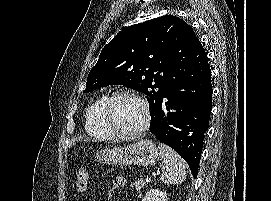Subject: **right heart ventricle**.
Segmentation results:
<instances>
[{
    "mask_svg": "<svg viewBox=\"0 0 271 201\" xmlns=\"http://www.w3.org/2000/svg\"><path fill=\"white\" fill-rule=\"evenodd\" d=\"M108 95L99 96L87 109L85 114L86 132L95 138L112 139L116 135L107 127L102 116V109Z\"/></svg>",
    "mask_w": 271,
    "mask_h": 201,
    "instance_id": "right-heart-ventricle-1",
    "label": "right heart ventricle"
}]
</instances>
